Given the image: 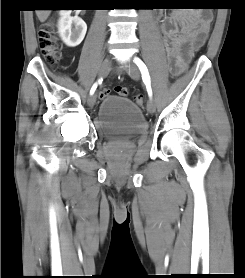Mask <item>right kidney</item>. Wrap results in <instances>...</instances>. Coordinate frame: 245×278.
Wrapping results in <instances>:
<instances>
[{"label": "right kidney", "instance_id": "obj_1", "mask_svg": "<svg viewBox=\"0 0 245 278\" xmlns=\"http://www.w3.org/2000/svg\"><path fill=\"white\" fill-rule=\"evenodd\" d=\"M71 12V10H60L58 32L68 47H76L83 41L87 25L77 15L71 16Z\"/></svg>", "mask_w": 245, "mask_h": 278}]
</instances>
